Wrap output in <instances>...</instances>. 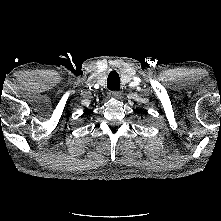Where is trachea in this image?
I'll return each mask as SVG.
<instances>
[{
  "instance_id": "3493384b",
  "label": "trachea",
  "mask_w": 221,
  "mask_h": 221,
  "mask_svg": "<svg viewBox=\"0 0 221 221\" xmlns=\"http://www.w3.org/2000/svg\"><path fill=\"white\" fill-rule=\"evenodd\" d=\"M107 87L109 90L120 89V78L116 71H111L107 78Z\"/></svg>"
}]
</instances>
